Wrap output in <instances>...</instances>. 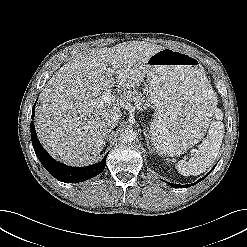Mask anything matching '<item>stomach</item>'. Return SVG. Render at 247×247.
<instances>
[{
    "label": "stomach",
    "mask_w": 247,
    "mask_h": 247,
    "mask_svg": "<svg viewBox=\"0 0 247 247\" xmlns=\"http://www.w3.org/2000/svg\"><path fill=\"white\" fill-rule=\"evenodd\" d=\"M149 99L155 114L150 125L154 149L178 156L204 135L216 104L203 67L194 56L163 48L145 65Z\"/></svg>",
    "instance_id": "1"
}]
</instances>
